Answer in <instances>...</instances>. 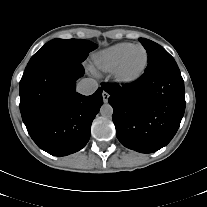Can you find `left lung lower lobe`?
Wrapping results in <instances>:
<instances>
[{
	"instance_id": "obj_1",
	"label": "left lung lower lobe",
	"mask_w": 207,
	"mask_h": 207,
	"mask_svg": "<svg viewBox=\"0 0 207 207\" xmlns=\"http://www.w3.org/2000/svg\"><path fill=\"white\" fill-rule=\"evenodd\" d=\"M110 94L118 140L127 148L152 153L176 134L185 111L184 81L176 62L164 64L133 83H103Z\"/></svg>"
}]
</instances>
